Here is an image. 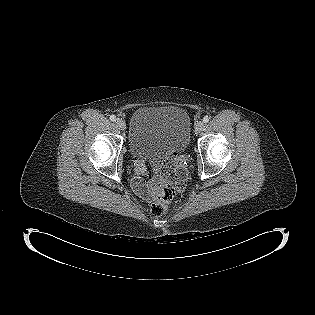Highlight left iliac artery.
Here are the masks:
<instances>
[{
  "instance_id": "left-iliac-artery-1",
  "label": "left iliac artery",
  "mask_w": 315,
  "mask_h": 315,
  "mask_svg": "<svg viewBox=\"0 0 315 315\" xmlns=\"http://www.w3.org/2000/svg\"><path fill=\"white\" fill-rule=\"evenodd\" d=\"M209 120H210V117H209V116H205V117L203 118V122H204V123H207Z\"/></svg>"
}]
</instances>
